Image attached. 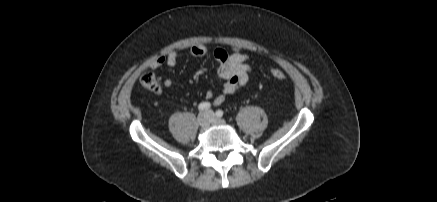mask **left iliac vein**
Masks as SVG:
<instances>
[{
    "label": "left iliac vein",
    "mask_w": 437,
    "mask_h": 202,
    "mask_svg": "<svg viewBox=\"0 0 437 202\" xmlns=\"http://www.w3.org/2000/svg\"><path fill=\"white\" fill-rule=\"evenodd\" d=\"M207 115L210 117V120H211L212 124H220V125L225 124V121L223 119H220V118L216 117L214 112L208 111Z\"/></svg>",
    "instance_id": "left-iliac-vein-1"
}]
</instances>
